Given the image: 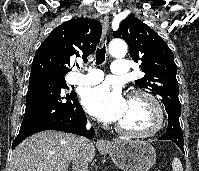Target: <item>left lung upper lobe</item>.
<instances>
[{"label": "left lung upper lobe", "instance_id": "left-lung-upper-lobe-1", "mask_svg": "<svg viewBox=\"0 0 199 171\" xmlns=\"http://www.w3.org/2000/svg\"><path fill=\"white\" fill-rule=\"evenodd\" d=\"M113 35L127 42L130 57L139 63L145 74L136 80L135 84L160 96L168 114L180 116L177 66L166 42L148 25L131 15L121 22L119 29L114 31Z\"/></svg>", "mask_w": 199, "mask_h": 171}]
</instances>
